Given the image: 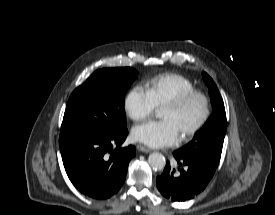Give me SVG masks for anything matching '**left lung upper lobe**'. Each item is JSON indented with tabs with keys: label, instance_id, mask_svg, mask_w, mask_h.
I'll list each match as a JSON object with an SVG mask.
<instances>
[{
	"label": "left lung upper lobe",
	"instance_id": "obj_1",
	"mask_svg": "<svg viewBox=\"0 0 275 215\" xmlns=\"http://www.w3.org/2000/svg\"><path fill=\"white\" fill-rule=\"evenodd\" d=\"M203 79L209 88L214 111L204 126L195 133L194 138L177 152L182 156L218 166L227 128L225 107L215 83L205 72Z\"/></svg>",
	"mask_w": 275,
	"mask_h": 215
}]
</instances>
